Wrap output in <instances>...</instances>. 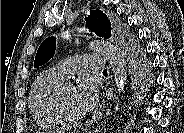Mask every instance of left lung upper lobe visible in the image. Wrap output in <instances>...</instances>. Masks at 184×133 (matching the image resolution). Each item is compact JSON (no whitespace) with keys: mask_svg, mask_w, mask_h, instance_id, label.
<instances>
[{"mask_svg":"<svg viewBox=\"0 0 184 133\" xmlns=\"http://www.w3.org/2000/svg\"><path fill=\"white\" fill-rule=\"evenodd\" d=\"M85 21L87 27L98 36L106 39L114 36L122 41L130 69L131 91L135 92L140 84L146 66L140 48L135 44L132 37L128 35L121 23L110 20L101 10L90 11V15L88 17L85 16ZM55 49V37L45 39L37 50L34 68L47 63L54 56Z\"/></svg>","mask_w":184,"mask_h":133,"instance_id":"5c2ea615","label":"left lung upper lobe"}]
</instances>
